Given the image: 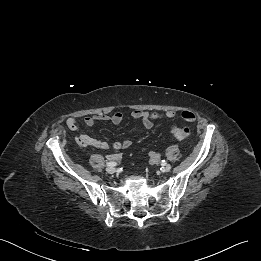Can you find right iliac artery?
Segmentation results:
<instances>
[{
	"label": "right iliac artery",
	"instance_id": "obj_1",
	"mask_svg": "<svg viewBox=\"0 0 261 261\" xmlns=\"http://www.w3.org/2000/svg\"><path fill=\"white\" fill-rule=\"evenodd\" d=\"M106 165L107 166H116L117 163L116 162H107Z\"/></svg>",
	"mask_w": 261,
	"mask_h": 261
}]
</instances>
